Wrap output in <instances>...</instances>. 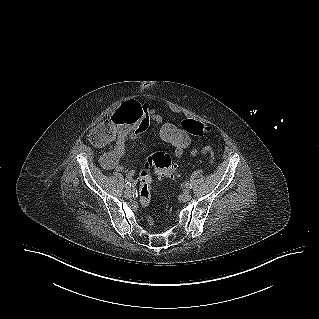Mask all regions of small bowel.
<instances>
[{"label":"small bowel","mask_w":319,"mask_h":319,"mask_svg":"<svg viewBox=\"0 0 319 319\" xmlns=\"http://www.w3.org/2000/svg\"><path fill=\"white\" fill-rule=\"evenodd\" d=\"M164 122L158 111L149 104H142L141 101L136 100L119 101L118 109L109 112L105 118L92 126L88 137L91 144L99 148L114 142L111 149L101 155L100 163L107 169L124 172L131 176V167L120 162L125 154L127 139H134L145 133L150 123L157 130ZM181 122H178L179 130H182ZM185 135L188 134L185 133ZM173 152L176 157H181L184 151L173 149ZM198 153L197 150L191 151L192 156ZM201 153L208 156L211 163L214 161V152L211 147H204Z\"/></svg>","instance_id":"1"}]
</instances>
